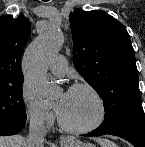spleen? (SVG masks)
<instances>
[{"instance_id":"3e777b00","label":"spleen","mask_w":145,"mask_h":147,"mask_svg":"<svg viewBox=\"0 0 145 147\" xmlns=\"http://www.w3.org/2000/svg\"><path fill=\"white\" fill-rule=\"evenodd\" d=\"M103 147H114L116 146L114 143L107 141L104 145H102Z\"/></svg>"}]
</instances>
